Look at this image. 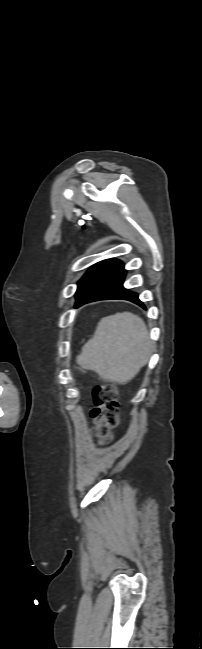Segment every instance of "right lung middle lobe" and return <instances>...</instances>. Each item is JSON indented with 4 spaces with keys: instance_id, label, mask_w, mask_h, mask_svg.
<instances>
[{
    "instance_id": "obj_1",
    "label": "right lung middle lobe",
    "mask_w": 202,
    "mask_h": 649,
    "mask_svg": "<svg viewBox=\"0 0 202 649\" xmlns=\"http://www.w3.org/2000/svg\"><path fill=\"white\" fill-rule=\"evenodd\" d=\"M113 260H105L102 262H99L92 266L87 273L82 277V279L78 282V290L76 292V298L77 302L81 299L82 294L88 284L105 268L107 267Z\"/></svg>"
}]
</instances>
